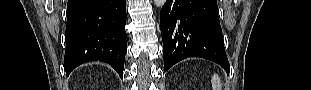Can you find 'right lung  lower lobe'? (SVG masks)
I'll return each mask as SVG.
<instances>
[{
    "label": "right lung lower lobe",
    "instance_id": "1",
    "mask_svg": "<svg viewBox=\"0 0 311 90\" xmlns=\"http://www.w3.org/2000/svg\"><path fill=\"white\" fill-rule=\"evenodd\" d=\"M66 74L88 61L110 64L123 77L126 0H68Z\"/></svg>",
    "mask_w": 311,
    "mask_h": 90
}]
</instances>
